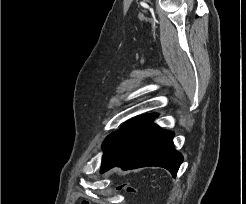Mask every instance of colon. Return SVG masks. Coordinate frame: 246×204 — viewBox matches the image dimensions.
<instances>
[{
  "instance_id": "1",
  "label": "colon",
  "mask_w": 246,
  "mask_h": 204,
  "mask_svg": "<svg viewBox=\"0 0 246 204\" xmlns=\"http://www.w3.org/2000/svg\"><path fill=\"white\" fill-rule=\"evenodd\" d=\"M119 188H124L128 192H134L135 191V188L132 185L128 184V183H124V184L120 185ZM82 204H90V202L88 200H84L82 202Z\"/></svg>"
}]
</instances>
